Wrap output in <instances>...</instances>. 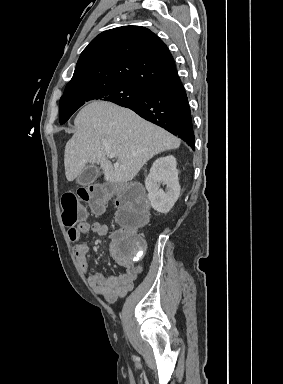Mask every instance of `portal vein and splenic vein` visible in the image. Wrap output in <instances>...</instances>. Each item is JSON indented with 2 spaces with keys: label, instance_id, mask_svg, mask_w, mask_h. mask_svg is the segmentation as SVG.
Instances as JSON below:
<instances>
[{
  "label": "portal vein and splenic vein",
  "instance_id": "obj_1",
  "mask_svg": "<svg viewBox=\"0 0 283 384\" xmlns=\"http://www.w3.org/2000/svg\"><path fill=\"white\" fill-rule=\"evenodd\" d=\"M116 154H112V152H107V158H115ZM118 164V162H117Z\"/></svg>",
  "mask_w": 283,
  "mask_h": 384
}]
</instances>
